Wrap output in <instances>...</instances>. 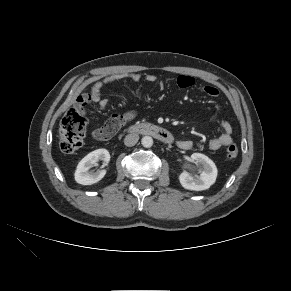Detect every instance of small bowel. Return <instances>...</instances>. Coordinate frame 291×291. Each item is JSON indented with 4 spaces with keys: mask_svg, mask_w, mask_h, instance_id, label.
<instances>
[{
    "mask_svg": "<svg viewBox=\"0 0 291 291\" xmlns=\"http://www.w3.org/2000/svg\"><path fill=\"white\" fill-rule=\"evenodd\" d=\"M123 79H129L134 82H139L142 79H144L147 82H155L157 80L155 75L147 74L142 76L139 73L136 72H129V73H118V74H112L109 76L104 77L103 79H100L96 81L92 88L91 92L89 94L90 101L97 104L98 108L104 109L108 103L107 99L101 97L102 89L110 84L117 83ZM195 81L192 77L181 75L177 78V85L181 90L188 89L194 85ZM203 91L209 95V96H217L218 95V89L214 86L207 85L203 88ZM135 116L134 111H129L123 115H116L114 117H118L121 119L122 125H124L126 122L133 119ZM121 125V126H122ZM220 129L222 130L221 134L213 138L209 141V148L211 150H218L221 147L228 146L232 143V127L229 122H222L219 125ZM93 137L98 140H105L110 138L112 135H110L106 129V124L98 129H95L92 133ZM193 146V143L189 140H179L177 141V147L181 150H189Z\"/></svg>",
    "mask_w": 291,
    "mask_h": 291,
    "instance_id": "1",
    "label": "small bowel"
}]
</instances>
